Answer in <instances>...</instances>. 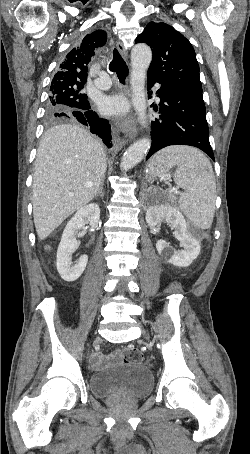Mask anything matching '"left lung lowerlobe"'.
<instances>
[{
	"mask_svg": "<svg viewBox=\"0 0 250 454\" xmlns=\"http://www.w3.org/2000/svg\"><path fill=\"white\" fill-rule=\"evenodd\" d=\"M155 83L160 84L156 92L160 98L159 108L154 106L159 115L152 121L153 143L146 160L158 150L177 144L195 146L214 160L202 89L167 85L148 77V90Z\"/></svg>",
	"mask_w": 250,
	"mask_h": 454,
	"instance_id": "obj_1",
	"label": "left lung lower lobe"
}]
</instances>
